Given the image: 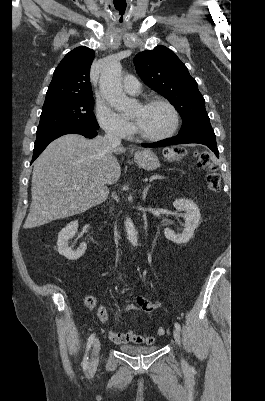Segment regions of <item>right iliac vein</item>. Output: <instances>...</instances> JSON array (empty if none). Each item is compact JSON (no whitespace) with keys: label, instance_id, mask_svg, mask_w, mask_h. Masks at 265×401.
Listing matches in <instances>:
<instances>
[{"label":"right iliac vein","instance_id":"63e3f726","mask_svg":"<svg viewBox=\"0 0 265 401\" xmlns=\"http://www.w3.org/2000/svg\"><path fill=\"white\" fill-rule=\"evenodd\" d=\"M100 348H101L100 340L96 339L90 354V361L88 366V370L90 372L95 371L98 366V352L100 351Z\"/></svg>","mask_w":265,"mask_h":401}]
</instances>
